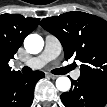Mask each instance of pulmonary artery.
Here are the masks:
<instances>
[{"mask_svg":"<svg viewBox=\"0 0 107 107\" xmlns=\"http://www.w3.org/2000/svg\"><path fill=\"white\" fill-rule=\"evenodd\" d=\"M61 52V44L59 40L53 35H47L45 38V46L43 52L34 58L27 61V65L32 68H41L49 61L55 59ZM80 71L76 70L72 73L74 78H78Z\"/></svg>","mask_w":107,"mask_h":107,"instance_id":"e3ab8cb5","label":"pulmonary artery"}]
</instances>
